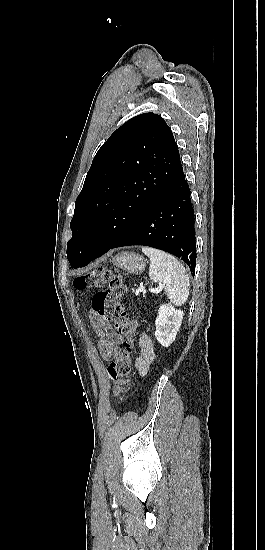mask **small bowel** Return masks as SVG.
<instances>
[{
  "mask_svg": "<svg viewBox=\"0 0 265 550\" xmlns=\"http://www.w3.org/2000/svg\"><path fill=\"white\" fill-rule=\"evenodd\" d=\"M90 323L97 338V346L101 358L105 361H111L121 352L120 344L123 341V336L115 332L110 324L95 312L90 316ZM139 346L140 355L135 365L138 372L143 375L148 371L150 364L153 362L155 352L151 339L144 334L139 339Z\"/></svg>",
  "mask_w": 265,
  "mask_h": 550,
  "instance_id": "1",
  "label": "small bowel"
}]
</instances>
